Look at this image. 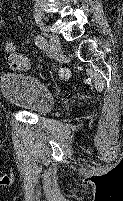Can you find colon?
<instances>
[{
  "label": "colon",
  "mask_w": 123,
  "mask_h": 201,
  "mask_svg": "<svg viewBox=\"0 0 123 201\" xmlns=\"http://www.w3.org/2000/svg\"><path fill=\"white\" fill-rule=\"evenodd\" d=\"M7 62L14 70H26L30 66L29 58L21 53H18L12 43L6 45ZM60 75L64 78L70 76L67 70H61Z\"/></svg>",
  "instance_id": "1"
}]
</instances>
